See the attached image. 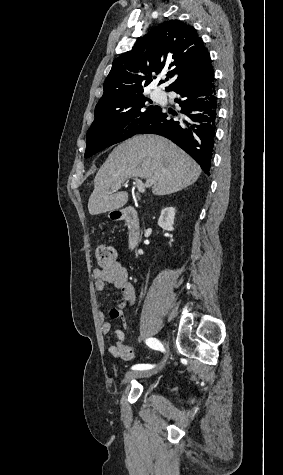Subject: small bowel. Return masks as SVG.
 Wrapping results in <instances>:
<instances>
[{"label":"small bowel","instance_id":"1","mask_svg":"<svg viewBox=\"0 0 283 475\" xmlns=\"http://www.w3.org/2000/svg\"><path fill=\"white\" fill-rule=\"evenodd\" d=\"M95 288L98 291L110 286L119 293L117 306L110 312V322L107 320L104 307L100 305L98 318L101 332L104 335L113 333L115 343L108 348L109 354L117 360H130L133 358V350L126 344L125 334L121 329H113L112 326H122L124 323L122 309L135 303L134 288L129 281L127 270L120 264L115 263L105 267H96L92 270Z\"/></svg>","mask_w":283,"mask_h":475}]
</instances>
